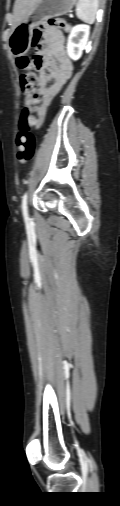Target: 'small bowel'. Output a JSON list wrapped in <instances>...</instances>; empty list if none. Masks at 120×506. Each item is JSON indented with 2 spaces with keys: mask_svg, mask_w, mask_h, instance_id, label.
I'll return each instance as SVG.
<instances>
[{
  "mask_svg": "<svg viewBox=\"0 0 120 506\" xmlns=\"http://www.w3.org/2000/svg\"><path fill=\"white\" fill-rule=\"evenodd\" d=\"M65 39L61 31L50 30L45 33L43 42L37 48L34 58L39 74L38 93L43 98L37 107V126L44 121L47 108L53 98L61 91L72 73V64L64 49ZM49 81L51 85L48 86Z\"/></svg>",
  "mask_w": 120,
  "mask_h": 506,
  "instance_id": "1",
  "label": "small bowel"
}]
</instances>
